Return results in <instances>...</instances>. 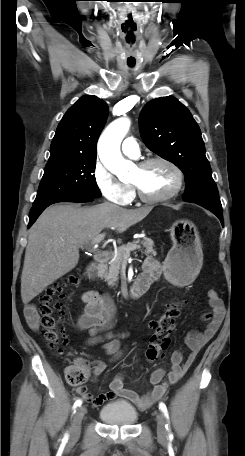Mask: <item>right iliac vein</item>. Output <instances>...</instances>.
I'll list each match as a JSON object with an SVG mask.
<instances>
[{"instance_id": "obj_1", "label": "right iliac vein", "mask_w": 245, "mask_h": 456, "mask_svg": "<svg viewBox=\"0 0 245 456\" xmlns=\"http://www.w3.org/2000/svg\"><path fill=\"white\" fill-rule=\"evenodd\" d=\"M86 413V408L85 407H79L76 410V413L73 417V422L72 426L70 428V439L71 440H77L80 436L81 432V423L82 419Z\"/></svg>"}]
</instances>
